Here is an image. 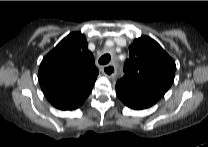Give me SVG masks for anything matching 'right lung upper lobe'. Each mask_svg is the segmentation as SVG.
I'll use <instances>...</instances> for the list:
<instances>
[{
    "mask_svg": "<svg viewBox=\"0 0 208 147\" xmlns=\"http://www.w3.org/2000/svg\"><path fill=\"white\" fill-rule=\"evenodd\" d=\"M98 73L85 36L73 32L43 58L38 78L53 106L72 110L88 97Z\"/></svg>",
    "mask_w": 208,
    "mask_h": 147,
    "instance_id": "right-lung-upper-lobe-1",
    "label": "right lung upper lobe"
}]
</instances>
